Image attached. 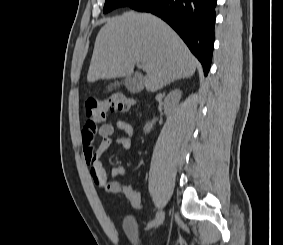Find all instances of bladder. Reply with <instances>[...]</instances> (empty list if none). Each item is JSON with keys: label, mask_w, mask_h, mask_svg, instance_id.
Returning a JSON list of instances; mask_svg holds the SVG:
<instances>
[{"label": "bladder", "mask_w": 283, "mask_h": 245, "mask_svg": "<svg viewBox=\"0 0 283 245\" xmlns=\"http://www.w3.org/2000/svg\"><path fill=\"white\" fill-rule=\"evenodd\" d=\"M124 229L125 232L128 236V238L135 243V245H137L136 243H138V223L136 221V219L132 216H127L124 219Z\"/></svg>", "instance_id": "obj_1"}]
</instances>
